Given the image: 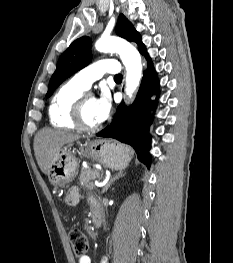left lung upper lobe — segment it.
Returning <instances> with one entry per match:
<instances>
[{
    "instance_id": "left-lung-upper-lobe-1",
    "label": "left lung upper lobe",
    "mask_w": 233,
    "mask_h": 263,
    "mask_svg": "<svg viewBox=\"0 0 233 263\" xmlns=\"http://www.w3.org/2000/svg\"><path fill=\"white\" fill-rule=\"evenodd\" d=\"M117 35L128 41L137 43L139 50L144 46L140 34L133 25L120 14L116 25ZM91 40L88 37H81L75 40L60 56L57 68L52 75L46 97L52 95L54 90L69 76L84 68L91 62Z\"/></svg>"
}]
</instances>
